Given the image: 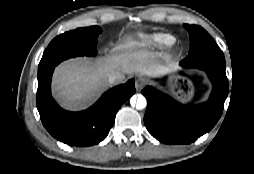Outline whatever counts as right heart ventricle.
I'll use <instances>...</instances> for the list:
<instances>
[{"label":"right heart ventricle","instance_id":"right-heart-ventricle-1","mask_svg":"<svg viewBox=\"0 0 254 174\" xmlns=\"http://www.w3.org/2000/svg\"><path fill=\"white\" fill-rule=\"evenodd\" d=\"M136 38L140 41L143 48H150L155 50H164L171 47L176 39L174 36L164 33H152V34H138Z\"/></svg>","mask_w":254,"mask_h":174}]
</instances>
